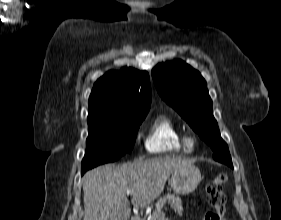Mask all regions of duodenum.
Instances as JSON below:
<instances>
[{"label": "duodenum", "mask_w": 281, "mask_h": 220, "mask_svg": "<svg viewBox=\"0 0 281 220\" xmlns=\"http://www.w3.org/2000/svg\"><path fill=\"white\" fill-rule=\"evenodd\" d=\"M130 220H139L137 217H132Z\"/></svg>", "instance_id": "duodenum-1"}]
</instances>
